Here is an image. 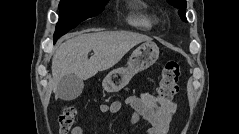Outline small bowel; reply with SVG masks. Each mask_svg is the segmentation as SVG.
I'll return each mask as SVG.
<instances>
[{"label":"small bowel","mask_w":239,"mask_h":134,"mask_svg":"<svg viewBox=\"0 0 239 134\" xmlns=\"http://www.w3.org/2000/svg\"><path fill=\"white\" fill-rule=\"evenodd\" d=\"M126 102L132 110L133 124L140 119H144L149 124L146 134H166L168 132L169 124L176 112V105L172 101L148 92H141L130 96ZM121 108L120 101L102 103L99 106L100 112L104 114H116ZM71 134H87V132L83 127L76 126Z\"/></svg>","instance_id":"1"}]
</instances>
